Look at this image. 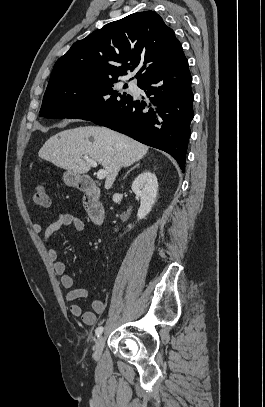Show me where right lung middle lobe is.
I'll return each instance as SVG.
<instances>
[{"mask_svg": "<svg viewBox=\"0 0 265 407\" xmlns=\"http://www.w3.org/2000/svg\"><path fill=\"white\" fill-rule=\"evenodd\" d=\"M116 82L117 80H85L49 83L40 116L93 120L132 99L126 92L115 90ZM124 88H127V84Z\"/></svg>", "mask_w": 265, "mask_h": 407, "instance_id": "dd1d6c3e", "label": "right lung middle lobe"}]
</instances>
